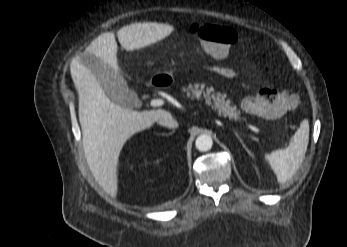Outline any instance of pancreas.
<instances>
[{
  "instance_id": "obj_1",
  "label": "pancreas",
  "mask_w": 347,
  "mask_h": 247,
  "mask_svg": "<svg viewBox=\"0 0 347 247\" xmlns=\"http://www.w3.org/2000/svg\"><path fill=\"white\" fill-rule=\"evenodd\" d=\"M182 92L186 93L191 99L204 98L206 103L217 111L220 116L229 117L230 120L239 121L240 111L235 105L232 104L230 99H226V94L221 92H215L212 87L199 86V84H189L188 87H182Z\"/></svg>"
}]
</instances>
